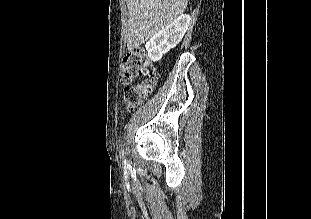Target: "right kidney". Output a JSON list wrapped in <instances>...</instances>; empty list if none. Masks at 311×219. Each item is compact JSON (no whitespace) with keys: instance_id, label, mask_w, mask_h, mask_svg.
Wrapping results in <instances>:
<instances>
[{"instance_id":"ca27d5eb","label":"right kidney","mask_w":311,"mask_h":219,"mask_svg":"<svg viewBox=\"0 0 311 219\" xmlns=\"http://www.w3.org/2000/svg\"><path fill=\"white\" fill-rule=\"evenodd\" d=\"M190 24L189 15H181L171 24L156 33L146 43L145 47L151 61L157 62L161 60L163 55L181 41Z\"/></svg>"}]
</instances>
